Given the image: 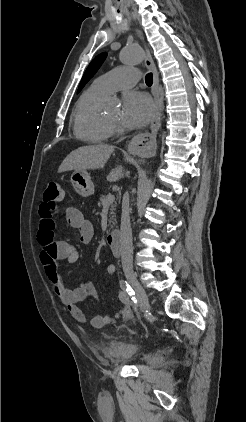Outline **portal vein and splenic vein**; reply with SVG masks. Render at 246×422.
<instances>
[{
    "instance_id": "portal-vein-and-splenic-vein-1",
    "label": "portal vein and splenic vein",
    "mask_w": 246,
    "mask_h": 422,
    "mask_svg": "<svg viewBox=\"0 0 246 422\" xmlns=\"http://www.w3.org/2000/svg\"><path fill=\"white\" fill-rule=\"evenodd\" d=\"M114 200H115V196H114V195H109V196L107 197L106 202H105V206H109L111 203H113V202H114Z\"/></svg>"
}]
</instances>
